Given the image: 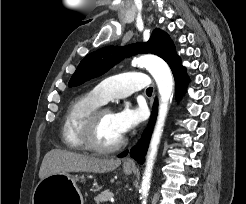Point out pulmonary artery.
I'll use <instances>...</instances> for the list:
<instances>
[{
	"instance_id": "obj_1",
	"label": "pulmonary artery",
	"mask_w": 246,
	"mask_h": 204,
	"mask_svg": "<svg viewBox=\"0 0 246 204\" xmlns=\"http://www.w3.org/2000/svg\"><path fill=\"white\" fill-rule=\"evenodd\" d=\"M149 78L142 72H127L108 77L97 84L91 93L101 104L111 99L124 98L137 90L148 88Z\"/></svg>"
}]
</instances>
